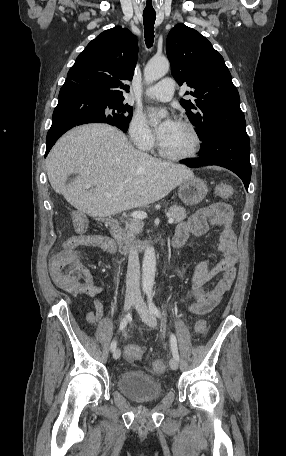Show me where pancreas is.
Listing matches in <instances>:
<instances>
[{
  "mask_svg": "<svg viewBox=\"0 0 286 456\" xmlns=\"http://www.w3.org/2000/svg\"><path fill=\"white\" fill-rule=\"evenodd\" d=\"M170 217L174 219V223L183 221L186 217V210L184 207L173 205L168 210ZM143 229V222L140 219H130L125 222V229L121 230V235L124 241H131Z\"/></svg>",
  "mask_w": 286,
  "mask_h": 456,
  "instance_id": "pancreas-1",
  "label": "pancreas"
}]
</instances>
